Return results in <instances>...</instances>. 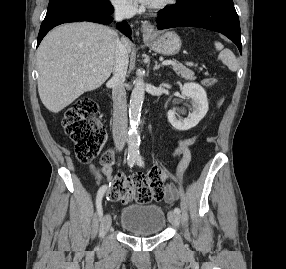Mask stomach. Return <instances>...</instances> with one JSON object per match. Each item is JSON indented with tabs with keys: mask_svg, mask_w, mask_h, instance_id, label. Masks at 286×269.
Masks as SVG:
<instances>
[{
	"mask_svg": "<svg viewBox=\"0 0 286 269\" xmlns=\"http://www.w3.org/2000/svg\"><path fill=\"white\" fill-rule=\"evenodd\" d=\"M144 41L153 51L168 56L177 54L181 48L180 37L172 31L145 36Z\"/></svg>",
	"mask_w": 286,
	"mask_h": 269,
	"instance_id": "obj_1",
	"label": "stomach"
}]
</instances>
